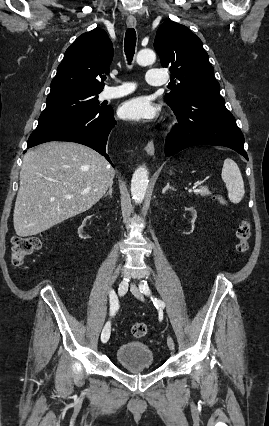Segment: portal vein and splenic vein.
Returning a JSON list of instances; mask_svg holds the SVG:
<instances>
[{"instance_id": "18ae733b", "label": "portal vein and splenic vein", "mask_w": 269, "mask_h": 426, "mask_svg": "<svg viewBox=\"0 0 269 426\" xmlns=\"http://www.w3.org/2000/svg\"><path fill=\"white\" fill-rule=\"evenodd\" d=\"M190 191L198 192L200 191V189H196L195 187H193Z\"/></svg>"}]
</instances>
